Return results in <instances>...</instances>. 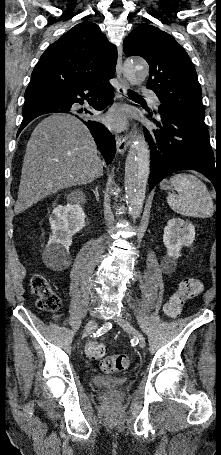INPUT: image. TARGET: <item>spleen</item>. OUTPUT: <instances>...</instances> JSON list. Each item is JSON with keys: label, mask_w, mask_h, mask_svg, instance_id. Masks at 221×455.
I'll return each mask as SVG.
<instances>
[{"label": "spleen", "mask_w": 221, "mask_h": 455, "mask_svg": "<svg viewBox=\"0 0 221 455\" xmlns=\"http://www.w3.org/2000/svg\"><path fill=\"white\" fill-rule=\"evenodd\" d=\"M178 194H169L167 202L176 213L183 216L208 218L214 206L206 185L192 174L178 173L170 178Z\"/></svg>", "instance_id": "3e777b00"}]
</instances>
